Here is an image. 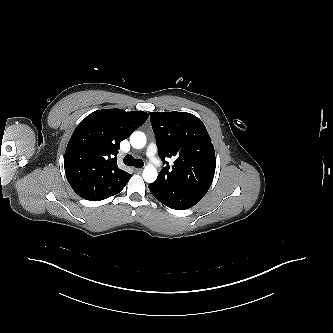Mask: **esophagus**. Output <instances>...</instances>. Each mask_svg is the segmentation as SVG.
<instances>
[{"instance_id":"esophagus-1","label":"esophagus","mask_w":333,"mask_h":333,"mask_svg":"<svg viewBox=\"0 0 333 333\" xmlns=\"http://www.w3.org/2000/svg\"><path fill=\"white\" fill-rule=\"evenodd\" d=\"M134 171L140 173L142 172V168H135Z\"/></svg>"}]
</instances>
